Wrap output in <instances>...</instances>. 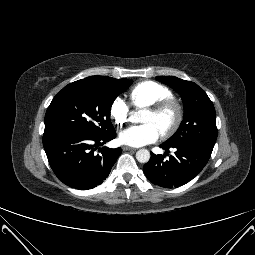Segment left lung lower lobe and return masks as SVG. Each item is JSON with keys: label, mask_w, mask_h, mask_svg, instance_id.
Instances as JSON below:
<instances>
[{"label": "left lung lower lobe", "mask_w": 255, "mask_h": 255, "mask_svg": "<svg viewBox=\"0 0 255 255\" xmlns=\"http://www.w3.org/2000/svg\"><path fill=\"white\" fill-rule=\"evenodd\" d=\"M160 147L166 152L175 148V155L165 160V155L151 153L144 173L153 184L164 188L179 187L192 180L204 168L213 150L201 145L169 146L163 143Z\"/></svg>", "instance_id": "0a47b994"}]
</instances>
